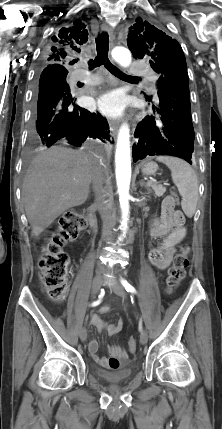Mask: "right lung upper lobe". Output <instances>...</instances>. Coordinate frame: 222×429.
Returning a JSON list of instances; mask_svg holds the SVG:
<instances>
[{"instance_id":"obj_1","label":"right lung upper lobe","mask_w":222,"mask_h":429,"mask_svg":"<svg viewBox=\"0 0 222 429\" xmlns=\"http://www.w3.org/2000/svg\"><path fill=\"white\" fill-rule=\"evenodd\" d=\"M79 24L62 28L58 36L53 37V45H49L44 52V61L46 65H51L58 69L61 75L68 74L65 64L73 53L79 52V45L88 40L86 30L81 31Z\"/></svg>"}]
</instances>
